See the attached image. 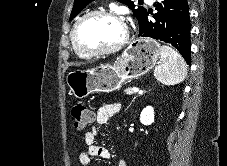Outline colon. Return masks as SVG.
I'll use <instances>...</instances> for the list:
<instances>
[{
    "mask_svg": "<svg viewBox=\"0 0 227 166\" xmlns=\"http://www.w3.org/2000/svg\"><path fill=\"white\" fill-rule=\"evenodd\" d=\"M71 115L77 130H83L93 121V113L84 101H79L73 106Z\"/></svg>",
    "mask_w": 227,
    "mask_h": 166,
    "instance_id": "obj_1",
    "label": "colon"
}]
</instances>
